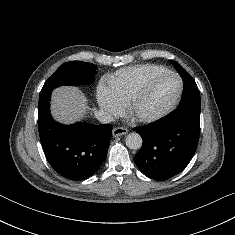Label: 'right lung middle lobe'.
<instances>
[{"mask_svg":"<svg viewBox=\"0 0 235 235\" xmlns=\"http://www.w3.org/2000/svg\"><path fill=\"white\" fill-rule=\"evenodd\" d=\"M97 67L92 63L71 61L61 65L44 83L40 95L62 85L89 84L95 80Z\"/></svg>","mask_w":235,"mask_h":235,"instance_id":"obj_1","label":"right lung middle lobe"}]
</instances>
